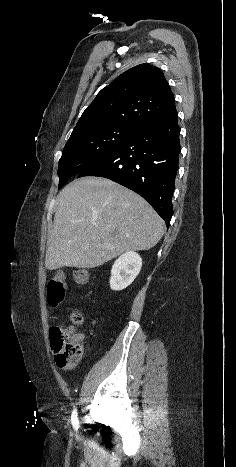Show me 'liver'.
Masks as SVG:
<instances>
[{"label": "liver", "instance_id": "liver-1", "mask_svg": "<svg viewBox=\"0 0 236 467\" xmlns=\"http://www.w3.org/2000/svg\"><path fill=\"white\" fill-rule=\"evenodd\" d=\"M163 234V220L141 196L106 178H81L56 199L45 266L95 268L124 252L149 250Z\"/></svg>", "mask_w": 236, "mask_h": 467}]
</instances>
